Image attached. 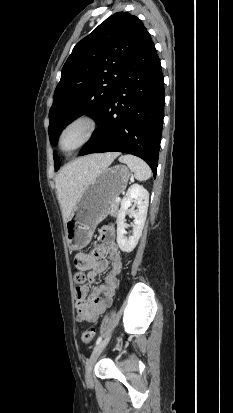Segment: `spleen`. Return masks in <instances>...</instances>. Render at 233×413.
<instances>
[{"mask_svg": "<svg viewBox=\"0 0 233 413\" xmlns=\"http://www.w3.org/2000/svg\"><path fill=\"white\" fill-rule=\"evenodd\" d=\"M119 161L127 164L130 170L134 172L135 178L139 181L147 180L152 175L151 169L146 162L136 156L123 155L119 158Z\"/></svg>", "mask_w": 233, "mask_h": 413, "instance_id": "obj_1", "label": "spleen"}]
</instances>
